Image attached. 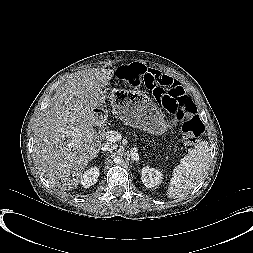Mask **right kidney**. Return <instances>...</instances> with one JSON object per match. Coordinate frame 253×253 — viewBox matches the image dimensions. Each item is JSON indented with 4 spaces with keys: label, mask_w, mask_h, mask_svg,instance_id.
<instances>
[{
    "label": "right kidney",
    "mask_w": 253,
    "mask_h": 253,
    "mask_svg": "<svg viewBox=\"0 0 253 253\" xmlns=\"http://www.w3.org/2000/svg\"><path fill=\"white\" fill-rule=\"evenodd\" d=\"M99 177V168L91 167L87 169L82 177H81V184L84 188H89L90 186L94 185Z\"/></svg>",
    "instance_id": "ca27d5eb"
}]
</instances>
